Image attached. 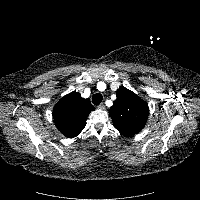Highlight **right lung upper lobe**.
Listing matches in <instances>:
<instances>
[{
    "label": "right lung upper lobe",
    "instance_id": "obj_1",
    "mask_svg": "<svg viewBox=\"0 0 200 200\" xmlns=\"http://www.w3.org/2000/svg\"><path fill=\"white\" fill-rule=\"evenodd\" d=\"M94 109L89 99H84L78 92L73 91L55 105L54 123L66 137H76L84 129L87 116Z\"/></svg>",
    "mask_w": 200,
    "mask_h": 200
}]
</instances>
